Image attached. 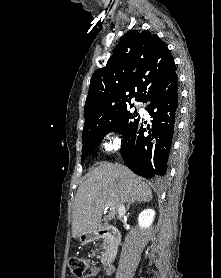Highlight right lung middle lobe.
<instances>
[{
    "label": "right lung middle lobe",
    "mask_w": 221,
    "mask_h": 278,
    "mask_svg": "<svg viewBox=\"0 0 221 278\" xmlns=\"http://www.w3.org/2000/svg\"><path fill=\"white\" fill-rule=\"evenodd\" d=\"M133 105H130V108ZM125 107L117 112L98 119L85 122L82 134V157L83 160L90 154L99 144L100 140L110 131H116L122 134L123 138L128 132L140 121V116L136 112L131 113Z\"/></svg>",
    "instance_id": "right-lung-middle-lobe-1"
}]
</instances>
